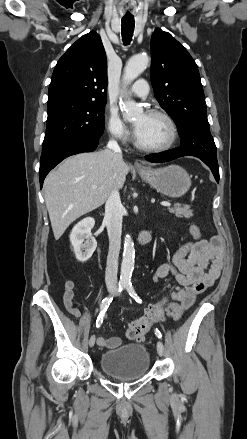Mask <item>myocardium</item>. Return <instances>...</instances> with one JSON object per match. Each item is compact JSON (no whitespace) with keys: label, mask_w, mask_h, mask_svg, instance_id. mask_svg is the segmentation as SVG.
Returning a JSON list of instances; mask_svg holds the SVG:
<instances>
[{"label":"myocardium","mask_w":247,"mask_h":439,"mask_svg":"<svg viewBox=\"0 0 247 439\" xmlns=\"http://www.w3.org/2000/svg\"><path fill=\"white\" fill-rule=\"evenodd\" d=\"M145 114L149 115V116H158V117L163 118L169 126L170 136H169L168 141L163 145L146 146V145L142 144L138 140L137 136L135 135V137H134L135 146L142 151L152 152V153L164 152V151L171 149L176 144L177 139H178V128H177V125H176L174 119L172 118V116L169 115L166 111L161 110V109H150V110L146 111Z\"/></svg>","instance_id":"obj_1"}]
</instances>
